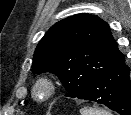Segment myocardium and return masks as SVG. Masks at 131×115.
Wrapping results in <instances>:
<instances>
[{"label":"myocardium","mask_w":131,"mask_h":115,"mask_svg":"<svg viewBox=\"0 0 131 115\" xmlns=\"http://www.w3.org/2000/svg\"><path fill=\"white\" fill-rule=\"evenodd\" d=\"M40 90H43V95L41 96L42 101L50 99L55 91V83L53 79L48 76H41L37 78L32 88L33 96L39 98Z\"/></svg>","instance_id":"1"}]
</instances>
